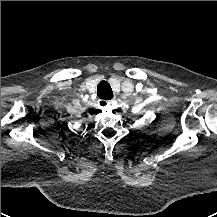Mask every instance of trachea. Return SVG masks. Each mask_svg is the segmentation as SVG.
Returning a JSON list of instances; mask_svg holds the SVG:
<instances>
[{"instance_id":"3493384b","label":"trachea","mask_w":217,"mask_h":217,"mask_svg":"<svg viewBox=\"0 0 217 217\" xmlns=\"http://www.w3.org/2000/svg\"><path fill=\"white\" fill-rule=\"evenodd\" d=\"M97 96L103 100H110L113 98V91L107 81H101L97 87Z\"/></svg>"}]
</instances>
